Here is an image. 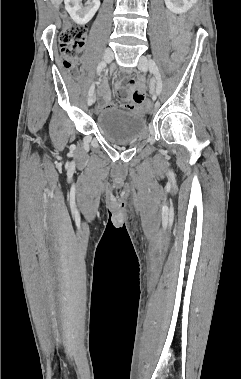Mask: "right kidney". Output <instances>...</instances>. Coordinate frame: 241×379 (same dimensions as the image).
<instances>
[{"label": "right kidney", "instance_id": "1", "mask_svg": "<svg viewBox=\"0 0 241 379\" xmlns=\"http://www.w3.org/2000/svg\"><path fill=\"white\" fill-rule=\"evenodd\" d=\"M82 0H64L65 9L69 13L72 20L84 25L88 23L100 7V0H88L87 5L81 4Z\"/></svg>", "mask_w": 241, "mask_h": 379}]
</instances>
